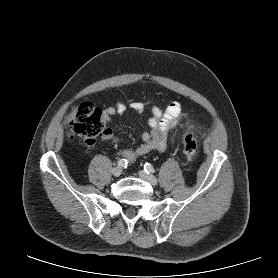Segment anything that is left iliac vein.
<instances>
[{
	"mask_svg": "<svg viewBox=\"0 0 278 278\" xmlns=\"http://www.w3.org/2000/svg\"><path fill=\"white\" fill-rule=\"evenodd\" d=\"M138 175L141 179L147 181L148 183H150L151 185L155 186L157 185L158 181L156 179V177H154L152 174H148L143 170H140L138 172Z\"/></svg>",
	"mask_w": 278,
	"mask_h": 278,
	"instance_id": "1",
	"label": "left iliac vein"
}]
</instances>
